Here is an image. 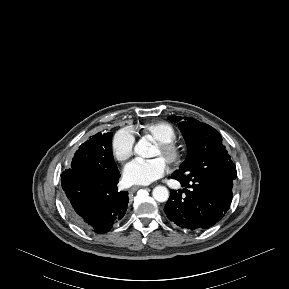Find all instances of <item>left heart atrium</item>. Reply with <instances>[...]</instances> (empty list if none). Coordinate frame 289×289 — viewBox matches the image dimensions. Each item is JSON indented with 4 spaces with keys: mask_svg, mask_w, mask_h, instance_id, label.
I'll return each mask as SVG.
<instances>
[{
    "mask_svg": "<svg viewBox=\"0 0 289 289\" xmlns=\"http://www.w3.org/2000/svg\"><path fill=\"white\" fill-rule=\"evenodd\" d=\"M165 171V163L158 158L135 160L125 167L123 177L129 185H147L162 177Z\"/></svg>",
    "mask_w": 289,
    "mask_h": 289,
    "instance_id": "39dd6f15",
    "label": "left heart atrium"
}]
</instances>
